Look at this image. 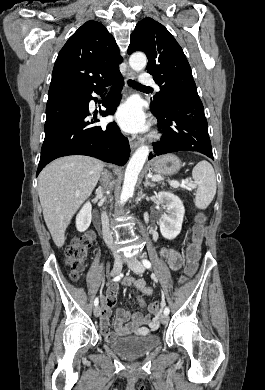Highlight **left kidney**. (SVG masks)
<instances>
[{"label": "left kidney", "mask_w": 265, "mask_h": 390, "mask_svg": "<svg viewBox=\"0 0 265 390\" xmlns=\"http://www.w3.org/2000/svg\"><path fill=\"white\" fill-rule=\"evenodd\" d=\"M157 198L166 209L160 221V232L164 238L172 240L181 232L185 208L180 198L170 192H159Z\"/></svg>", "instance_id": "left-kidney-1"}]
</instances>
